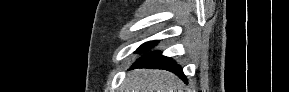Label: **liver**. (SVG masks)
<instances>
[{
  "label": "liver",
  "mask_w": 289,
  "mask_h": 92,
  "mask_svg": "<svg viewBox=\"0 0 289 92\" xmlns=\"http://www.w3.org/2000/svg\"><path fill=\"white\" fill-rule=\"evenodd\" d=\"M183 82L174 74L155 69H136L125 78L122 92H182Z\"/></svg>",
  "instance_id": "1"
}]
</instances>
